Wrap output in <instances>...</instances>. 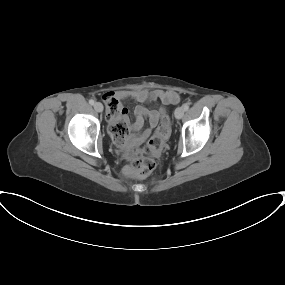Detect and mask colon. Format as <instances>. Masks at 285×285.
<instances>
[{
  "mask_svg": "<svg viewBox=\"0 0 285 285\" xmlns=\"http://www.w3.org/2000/svg\"><path fill=\"white\" fill-rule=\"evenodd\" d=\"M106 111L109 114L119 115L120 103L115 98H106ZM129 124L124 120H119L114 124H110V133L114 141L118 144H124L129 135ZM170 134V122L168 117H163L157 127L153 137L143 152L133 158L130 165V172L138 176H147L155 168L156 163L149 155L156 154L162 150L165 140Z\"/></svg>",
  "mask_w": 285,
  "mask_h": 285,
  "instance_id": "1",
  "label": "colon"
}]
</instances>
